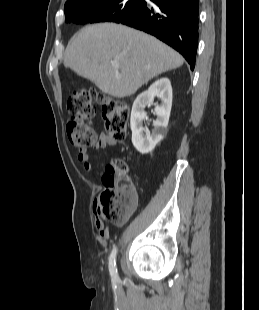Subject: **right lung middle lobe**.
<instances>
[{
    "instance_id": "dd1d6c3e",
    "label": "right lung middle lobe",
    "mask_w": 259,
    "mask_h": 310,
    "mask_svg": "<svg viewBox=\"0 0 259 310\" xmlns=\"http://www.w3.org/2000/svg\"><path fill=\"white\" fill-rule=\"evenodd\" d=\"M144 0H101L81 6L64 7L65 21L74 23L116 22L142 8Z\"/></svg>"
}]
</instances>
